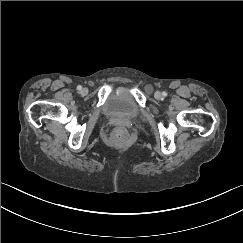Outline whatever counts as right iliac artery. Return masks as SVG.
Here are the masks:
<instances>
[{
	"instance_id": "obj_1",
	"label": "right iliac artery",
	"mask_w": 243,
	"mask_h": 243,
	"mask_svg": "<svg viewBox=\"0 0 243 243\" xmlns=\"http://www.w3.org/2000/svg\"><path fill=\"white\" fill-rule=\"evenodd\" d=\"M82 89V87L79 85V86H77V90H81Z\"/></svg>"
}]
</instances>
